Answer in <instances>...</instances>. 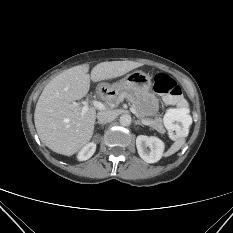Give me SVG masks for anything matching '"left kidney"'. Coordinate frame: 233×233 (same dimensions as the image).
I'll return each instance as SVG.
<instances>
[{
    "mask_svg": "<svg viewBox=\"0 0 233 233\" xmlns=\"http://www.w3.org/2000/svg\"><path fill=\"white\" fill-rule=\"evenodd\" d=\"M136 147L145 162L155 163L161 159L165 146L163 141L155 136L139 135L136 138Z\"/></svg>",
    "mask_w": 233,
    "mask_h": 233,
    "instance_id": "1",
    "label": "left kidney"
}]
</instances>
